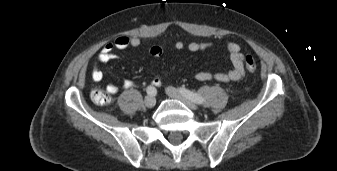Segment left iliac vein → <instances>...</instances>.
<instances>
[{"instance_id":"obj_1","label":"left iliac vein","mask_w":337,"mask_h":171,"mask_svg":"<svg viewBox=\"0 0 337 171\" xmlns=\"http://www.w3.org/2000/svg\"><path fill=\"white\" fill-rule=\"evenodd\" d=\"M166 93L169 97L180 100L182 103H184L187 107H189L192 110H197L198 107L195 103H193L191 100H189L186 96L181 94L177 89L173 87H167Z\"/></svg>"}]
</instances>
